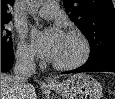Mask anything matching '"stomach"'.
Masks as SVG:
<instances>
[{"label": "stomach", "instance_id": "obj_1", "mask_svg": "<svg viewBox=\"0 0 115 99\" xmlns=\"http://www.w3.org/2000/svg\"><path fill=\"white\" fill-rule=\"evenodd\" d=\"M49 88L63 96L64 99H100L102 87L92 76L87 74H75L66 81Z\"/></svg>", "mask_w": 115, "mask_h": 99}]
</instances>
